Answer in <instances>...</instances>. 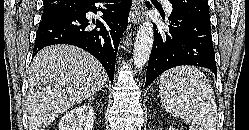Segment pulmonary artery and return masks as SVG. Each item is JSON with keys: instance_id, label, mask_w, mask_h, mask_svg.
Instances as JSON below:
<instances>
[{"instance_id": "pulmonary-artery-1", "label": "pulmonary artery", "mask_w": 249, "mask_h": 130, "mask_svg": "<svg viewBox=\"0 0 249 130\" xmlns=\"http://www.w3.org/2000/svg\"><path fill=\"white\" fill-rule=\"evenodd\" d=\"M162 1H164V3L166 4V6L169 10H172V5L170 4V2L168 0H162Z\"/></svg>"}]
</instances>
